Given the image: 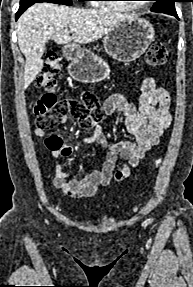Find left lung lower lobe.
Returning <instances> with one entry per match:
<instances>
[{"instance_id": "0a47b994", "label": "left lung lower lobe", "mask_w": 193, "mask_h": 287, "mask_svg": "<svg viewBox=\"0 0 193 287\" xmlns=\"http://www.w3.org/2000/svg\"><path fill=\"white\" fill-rule=\"evenodd\" d=\"M169 14L175 16L176 18H178V15H177L176 11L175 12H171Z\"/></svg>"}]
</instances>
